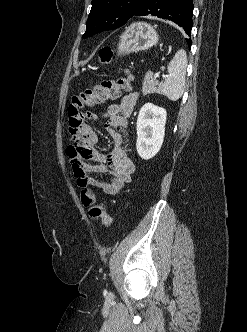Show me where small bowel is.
<instances>
[{"label": "small bowel", "instance_id": "1", "mask_svg": "<svg viewBox=\"0 0 247 332\" xmlns=\"http://www.w3.org/2000/svg\"><path fill=\"white\" fill-rule=\"evenodd\" d=\"M136 94L125 96L121 102L110 104L104 112H86L81 128L72 135L73 142L67 148L74 177L78 186H95L110 195L118 194L135 172V164L123 147L122 135L117 128H127L128 118L136 105ZM88 120H104L105 129L114 142L108 154L95 149L97 134L86 123ZM93 174H108L107 179H99Z\"/></svg>", "mask_w": 247, "mask_h": 332}]
</instances>
